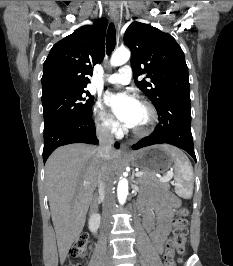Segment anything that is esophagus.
<instances>
[{
    "label": "esophagus",
    "mask_w": 233,
    "mask_h": 266,
    "mask_svg": "<svg viewBox=\"0 0 233 266\" xmlns=\"http://www.w3.org/2000/svg\"><path fill=\"white\" fill-rule=\"evenodd\" d=\"M109 15L111 17V20L115 23V25H118L119 23V14L117 11V8L115 5L110 6ZM120 151L123 154H127L129 152L128 146L124 143L121 144Z\"/></svg>",
    "instance_id": "obj_1"
}]
</instances>
